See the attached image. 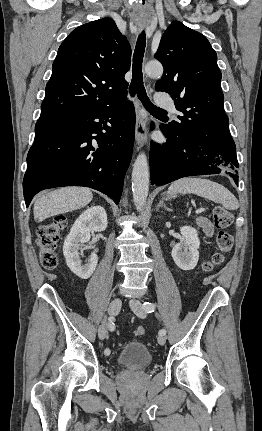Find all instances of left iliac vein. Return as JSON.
Here are the masks:
<instances>
[{
	"mask_svg": "<svg viewBox=\"0 0 262 431\" xmlns=\"http://www.w3.org/2000/svg\"><path fill=\"white\" fill-rule=\"evenodd\" d=\"M130 308L132 311L140 318L146 317V311L144 310L141 301L138 299H131L129 302ZM159 345H164L166 343L165 335H159L158 338Z\"/></svg>",
	"mask_w": 262,
	"mask_h": 431,
	"instance_id": "4c4485c4",
	"label": "left iliac vein"
}]
</instances>
